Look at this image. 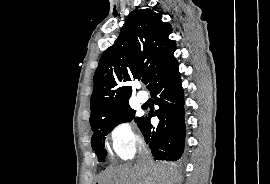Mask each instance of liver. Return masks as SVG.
Wrapping results in <instances>:
<instances>
[{"mask_svg":"<svg viewBox=\"0 0 270 184\" xmlns=\"http://www.w3.org/2000/svg\"><path fill=\"white\" fill-rule=\"evenodd\" d=\"M180 182L179 174L165 164H123L110 167L101 175L99 184H174Z\"/></svg>","mask_w":270,"mask_h":184,"instance_id":"1","label":"liver"}]
</instances>
